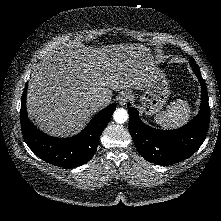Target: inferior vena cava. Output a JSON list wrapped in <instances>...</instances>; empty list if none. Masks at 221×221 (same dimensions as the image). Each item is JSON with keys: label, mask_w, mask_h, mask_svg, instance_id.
I'll list each match as a JSON object with an SVG mask.
<instances>
[{"label": "inferior vena cava", "mask_w": 221, "mask_h": 221, "mask_svg": "<svg viewBox=\"0 0 221 221\" xmlns=\"http://www.w3.org/2000/svg\"><path fill=\"white\" fill-rule=\"evenodd\" d=\"M109 103V100L106 98V97H99L96 99L95 101V105L97 107H102V106H105L106 104Z\"/></svg>", "instance_id": "602c4592"}]
</instances>
